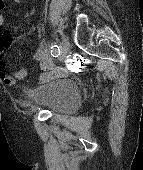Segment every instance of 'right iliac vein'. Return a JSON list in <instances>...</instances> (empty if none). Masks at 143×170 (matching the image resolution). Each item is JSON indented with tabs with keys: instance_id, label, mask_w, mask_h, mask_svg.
I'll list each match as a JSON object with an SVG mask.
<instances>
[{
	"instance_id": "obj_1",
	"label": "right iliac vein",
	"mask_w": 143,
	"mask_h": 170,
	"mask_svg": "<svg viewBox=\"0 0 143 170\" xmlns=\"http://www.w3.org/2000/svg\"><path fill=\"white\" fill-rule=\"evenodd\" d=\"M61 39H62L63 47L61 49V54H60L59 60H60V62H63L66 60L67 54L69 52V41L65 37L64 34H61Z\"/></svg>"
}]
</instances>
